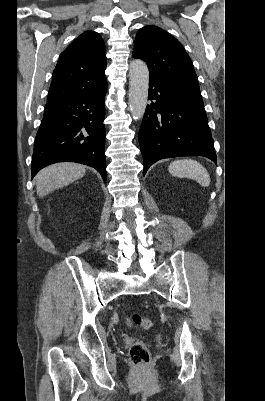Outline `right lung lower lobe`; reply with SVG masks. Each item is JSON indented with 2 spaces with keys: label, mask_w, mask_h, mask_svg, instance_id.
Returning <instances> with one entry per match:
<instances>
[{
  "label": "right lung lower lobe",
  "mask_w": 265,
  "mask_h": 401,
  "mask_svg": "<svg viewBox=\"0 0 265 401\" xmlns=\"http://www.w3.org/2000/svg\"><path fill=\"white\" fill-rule=\"evenodd\" d=\"M99 91L45 105L32 155V177L56 162H77L95 168L104 182L105 164L104 98Z\"/></svg>",
  "instance_id": "1"
}]
</instances>
